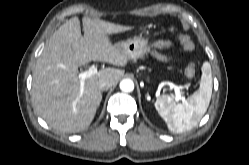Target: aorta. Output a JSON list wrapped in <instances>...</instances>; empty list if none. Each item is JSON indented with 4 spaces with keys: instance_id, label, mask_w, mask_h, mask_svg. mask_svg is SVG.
<instances>
[{
    "instance_id": "762f6f07",
    "label": "aorta",
    "mask_w": 249,
    "mask_h": 165,
    "mask_svg": "<svg viewBox=\"0 0 249 165\" xmlns=\"http://www.w3.org/2000/svg\"><path fill=\"white\" fill-rule=\"evenodd\" d=\"M120 89L123 92H132L134 90V82L131 79H123L120 82Z\"/></svg>"
}]
</instances>
